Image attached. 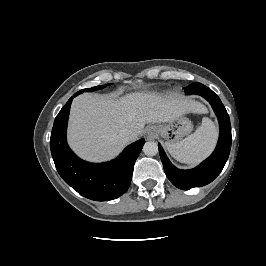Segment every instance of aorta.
I'll return each instance as SVG.
<instances>
[{
    "label": "aorta",
    "mask_w": 266,
    "mask_h": 266,
    "mask_svg": "<svg viewBox=\"0 0 266 266\" xmlns=\"http://www.w3.org/2000/svg\"><path fill=\"white\" fill-rule=\"evenodd\" d=\"M143 152L147 156H154L158 153V144L154 141H148L143 146Z\"/></svg>",
    "instance_id": "762f6f07"
}]
</instances>
